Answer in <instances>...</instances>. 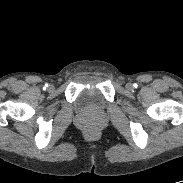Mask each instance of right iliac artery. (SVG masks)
Returning a JSON list of instances; mask_svg holds the SVG:
<instances>
[{"instance_id":"82829eb1","label":"right iliac artery","mask_w":183,"mask_h":183,"mask_svg":"<svg viewBox=\"0 0 183 183\" xmlns=\"http://www.w3.org/2000/svg\"><path fill=\"white\" fill-rule=\"evenodd\" d=\"M48 87V84H45L44 88Z\"/></svg>"}]
</instances>
